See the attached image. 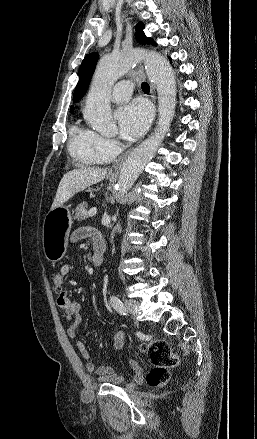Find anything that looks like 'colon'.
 Segmentation results:
<instances>
[{"label":"colon","mask_w":257,"mask_h":439,"mask_svg":"<svg viewBox=\"0 0 257 439\" xmlns=\"http://www.w3.org/2000/svg\"><path fill=\"white\" fill-rule=\"evenodd\" d=\"M53 283L57 293L62 294L64 292L62 289L63 277L60 274H55ZM141 351L147 355L152 366L147 374V384L155 388L163 386L169 378L168 369L179 364V355L164 340H154L142 346Z\"/></svg>","instance_id":"1"}]
</instances>
